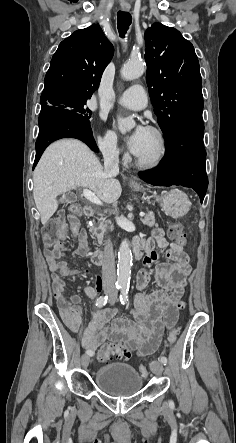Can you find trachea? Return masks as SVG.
I'll return each instance as SVG.
<instances>
[{
	"mask_svg": "<svg viewBox=\"0 0 236 443\" xmlns=\"http://www.w3.org/2000/svg\"><path fill=\"white\" fill-rule=\"evenodd\" d=\"M132 23V17L128 12L119 11L117 14V27L120 37L124 38L129 26Z\"/></svg>",
	"mask_w": 236,
	"mask_h": 443,
	"instance_id": "trachea-1",
	"label": "trachea"
}]
</instances>
